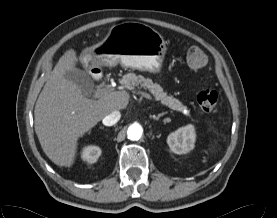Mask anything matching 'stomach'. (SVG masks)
Masks as SVG:
<instances>
[{
    "label": "stomach",
    "mask_w": 277,
    "mask_h": 218,
    "mask_svg": "<svg viewBox=\"0 0 277 218\" xmlns=\"http://www.w3.org/2000/svg\"><path fill=\"white\" fill-rule=\"evenodd\" d=\"M166 50L159 32L146 24L128 21L115 25L103 41L83 50L80 61L85 66L119 63L128 68L159 73Z\"/></svg>",
    "instance_id": "1"
}]
</instances>
